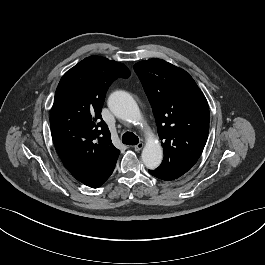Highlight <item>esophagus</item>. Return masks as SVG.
Listing matches in <instances>:
<instances>
[{
    "label": "esophagus",
    "mask_w": 265,
    "mask_h": 265,
    "mask_svg": "<svg viewBox=\"0 0 265 265\" xmlns=\"http://www.w3.org/2000/svg\"><path fill=\"white\" fill-rule=\"evenodd\" d=\"M144 147V143L140 142L137 145L134 146L135 151H140Z\"/></svg>",
    "instance_id": "esophagus-1"
}]
</instances>
